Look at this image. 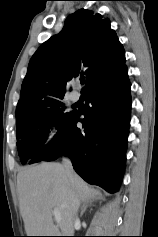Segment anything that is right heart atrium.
Segmentation results:
<instances>
[{
    "label": "right heart atrium",
    "mask_w": 158,
    "mask_h": 237,
    "mask_svg": "<svg viewBox=\"0 0 158 237\" xmlns=\"http://www.w3.org/2000/svg\"><path fill=\"white\" fill-rule=\"evenodd\" d=\"M58 125L55 121L46 122L41 128V137L45 145H50L58 138Z\"/></svg>",
    "instance_id": "right-heart-atrium-1"
}]
</instances>
